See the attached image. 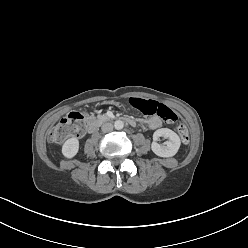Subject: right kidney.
<instances>
[{
	"mask_svg": "<svg viewBox=\"0 0 248 248\" xmlns=\"http://www.w3.org/2000/svg\"><path fill=\"white\" fill-rule=\"evenodd\" d=\"M79 150V141L77 138L72 137L65 141L62 146V154L66 158H73Z\"/></svg>",
	"mask_w": 248,
	"mask_h": 248,
	"instance_id": "1",
	"label": "right kidney"
}]
</instances>
